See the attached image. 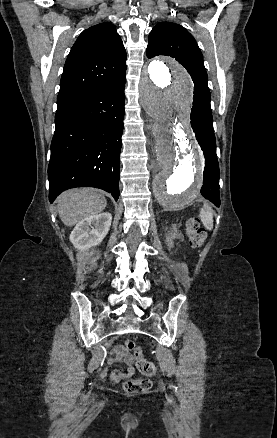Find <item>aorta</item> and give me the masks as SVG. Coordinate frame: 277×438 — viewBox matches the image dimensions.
Listing matches in <instances>:
<instances>
[{
	"instance_id": "obj_1",
	"label": "aorta",
	"mask_w": 277,
	"mask_h": 438,
	"mask_svg": "<svg viewBox=\"0 0 277 438\" xmlns=\"http://www.w3.org/2000/svg\"><path fill=\"white\" fill-rule=\"evenodd\" d=\"M192 81L186 70L169 59L148 64L139 82L140 102L154 119L160 171L155 177L157 201L181 209L199 194L203 155L189 125Z\"/></svg>"
}]
</instances>
